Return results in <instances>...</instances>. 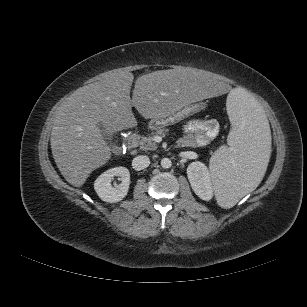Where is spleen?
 <instances>
[{"label":"spleen","mask_w":307,"mask_h":307,"mask_svg":"<svg viewBox=\"0 0 307 307\" xmlns=\"http://www.w3.org/2000/svg\"><path fill=\"white\" fill-rule=\"evenodd\" d=\"M226 108L235 128L229 135L230 148L220 149L209 166L217 204L224 209L233 207L255 189L271 150L269 123L254 97L233 89Z\"/></svg>","instance_id":"obj_1"}]
</instances>
